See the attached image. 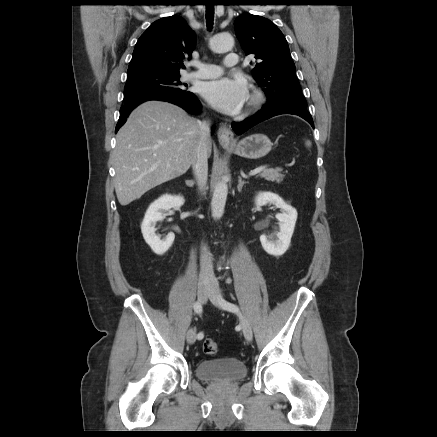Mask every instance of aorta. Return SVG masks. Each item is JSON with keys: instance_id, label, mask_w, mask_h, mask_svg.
Returning a JSON list of instances; mask_svg holds the SVG:
<instances>
[{"instance_id": "aorta-1", "label": "aorta", "mask_w": 437, "mask_h": 437, "mask_svg": "<svg viewBox=\"0 0 437 437\" xmlns=\"http://www.w3.org/2000/svg\"><path fill=\"white\" fill-rule=\"evenodd\" d=\"M233 46H234V38L229 33H221L215 35L210 40V47L212 51L216 53L227 52L231 50ZM227 194H228V185L225 181V178H222L220 181L217 182L214 188L213 197L211 201L212 216L215 219H219L224 213Z\"/></svg>"}]
</instances>
